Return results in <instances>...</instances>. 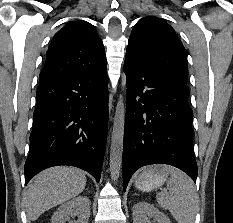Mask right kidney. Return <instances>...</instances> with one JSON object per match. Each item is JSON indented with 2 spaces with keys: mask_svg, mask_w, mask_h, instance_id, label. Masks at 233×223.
I'll return each instance as SVG.
<instances>
[{
  "mask_svg": "<svg viewBox=\"0 0 233 223\" xmlns=\"http://www.w3.org/2000/svg\"><path fill=\"white\" fill-rule=\"evenodd\" d=\"M90 209L91 201L89 197L87 195H78V197H73V199L65 201L58 207L51 217V223H65V221H70V223H88ZM69 215H72V217L77 215V219L71 221Z\"/></svg>",
  "mask_w": 233,
  "mask_h": 223,
  "instance_id": "right-kidney-1",
  "label": "right kidney"
}]
</instances>
